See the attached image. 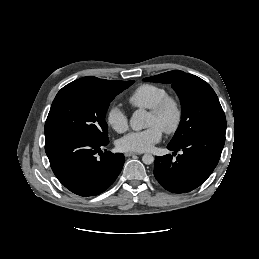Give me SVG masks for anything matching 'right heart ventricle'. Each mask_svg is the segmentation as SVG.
<instances>
[{
    "instance_id": "obj_1",
    "label": "right heart ventricle",
    "mask_w": 259,
    "mask_h": 259,
    "mask_svg": "<svg viewBox=\"0 0 259 259\" xmlns=\"http://www.w3.org/2000/svg\"><path fill=\"white\" fill-rule=\"evenodd\" d=\"M167 95V90L156 84H142L128 97V103L135 108H153Z\"/></svg>"
}]
</instances>
